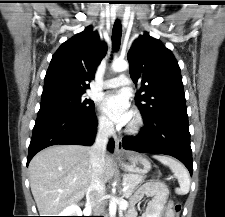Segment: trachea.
Here are the masks:
<instances>
[{
	"label": "trachea",
	"mask_w": 225,
	"mask_h": 217,
	"mask_svg": "<svg viewBox=\"0 0 225 217\" xmlns=\"http://www.w3.org/2000/svg\"><path fill=\"white\" fill-rule=\"evenodd\" d=\"M122 36V26L120 20L116 19L112 30V45L113 49L117 51L120 48Z\"/></svg>",
	"instance_id": "3493384b"
}]
</instances>
